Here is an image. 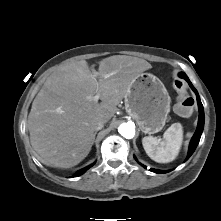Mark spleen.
<instances>
[{"label": "spleen", "instance_id": "1", "mask_svg": "<svg viewBox=\"0 0 221 221\" xmlns=\"http://www.w3.org/2000/svg\"><path fill=\"white\" fill-rule=\"evenodd\" d=\"M183 141V129L180 123L172 124L163 134V139L146 136L142 145L146 154L158 163H168L176 159Z\"/></svg>", "mask_w": 221, "mask_h": 221}]
</instances>
